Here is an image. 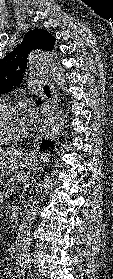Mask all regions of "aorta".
Returning <instances> with one entry per match:
<instances>
[{
  "instance_id": "aorta-1",
  "label": "aorta",
  "mask_w": 113,
  "mask_h": 279,
  "mask_svg": "<svg viewBox=\"0 0 113 279\" xmlns=\"http://www.w3.org/2000/svg\"><path fill=\"white\" fill-rule=\"evenodd\" d=\"M29 64L38 70H42L49 74L56 82L57 86L62 90H66V81L62 66L48 52L43 50H33L28 56ZM66 114L61 109L53 116L47 118L41 130L44 139L48 141L56 140L64 127ZM38 202L32 200L31 204L25 211L24 217L19 225L16 237V267L25 269L30 266V242L32 228L37 218Z\"/></svg>"
}]
</instances>
